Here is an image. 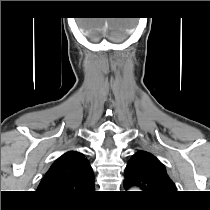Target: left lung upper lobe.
<instances>
[{"label": "left lung upper lobe", "instance_id": "obj_1", "mask_svg": "<svg viewBox=\"0 0 210 210\" xmlns=\"http://www.w3.org/2000/svg\"><path fill=\"white\" fill-rule=\"evenodd\" d=\"M125 185L139 186L143 193L151 196H166L176 192L165 166L151 153L139 150L125 169Z\"/></svg>", "mask_w": 210, "mask_h": 210}]
</instances>
